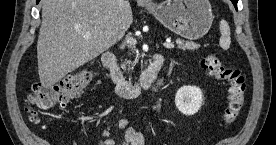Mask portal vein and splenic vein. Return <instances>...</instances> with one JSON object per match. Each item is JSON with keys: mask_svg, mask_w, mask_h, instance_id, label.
Instances as JSON below:
<instances>
[{"mask_svg": "<svg viewBox=\"0 0 276 145\" xmlns=\"http://www.w3.org/2000/svg\"><path fill=\"white\" fill-rule=\"evenodd\" d=\"M83 37L86 38V39L90 38V37H91V32H86V33H84V34H83ZM127 43L130 44V46H131V45H135V44H136V40L133 39V38H130V39L127 40ZM163 46H164L165 48H168V49L174 48V44H172V43H170V42H165V43H163Z\"/></svg>", "mask_w": 276, "mask_h": 145, "instance_id": "1", "label": "portal vein and splenic vein"}]
</instances>
